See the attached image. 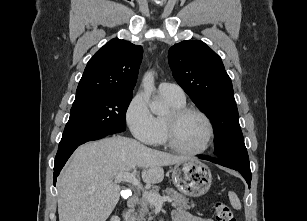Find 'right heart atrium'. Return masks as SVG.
Masks as SVG:
<instances>
[{"instance_id": "d8ad5b80", "label": "right heart atrium", "mask_w": 307, "mask_h": 221, "mask_svg": "<svg viewBox=\"0 0 307 221\" xmlns=\"http://www.w3.org/2000/svg\"><path fill=\"white\" fill-rule=\"evenodd\" d=\"M125 120L136 139L145 144H154L156 119L143 93H137L130 100L125 111Z\"/></svg>"}]
</instances>
